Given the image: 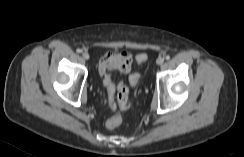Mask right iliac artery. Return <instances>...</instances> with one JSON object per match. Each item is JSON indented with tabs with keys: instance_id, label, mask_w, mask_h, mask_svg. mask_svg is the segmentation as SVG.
<instances>
[{
	"instance_id": "right-iliac-artery-1",
	"label": "right iliac artery",
	"mask_w": 244,
	"mask_h": 157,
	"mask_svg": "<svg viewBox=\"0 0 244 157\" xmlns=\"http://www.w3.org/2000/svg\"><path fill=\"white\" fill-rule=\"evenodd\" d=\"M77 52H78V53H81V52H82V50H81V49H77Z\"/></svg>"
}]
</instances>
